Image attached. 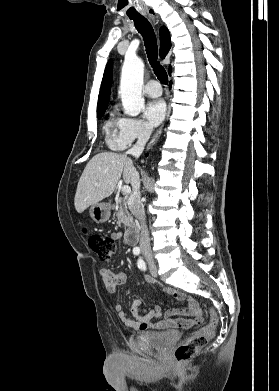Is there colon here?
Returning a JSON list of instances; mask_svg holds the SVG:
<instances>
[{
    "label": "colon",
    "instance_id": "obj_1",
    "mask_svg": "<svg viewBox=\"0 0 279 391\" xmlns=\"http://www.w3.org/2000/svg\"><path fill=\"white\" fill-rule=\"evenodd\" d=\"M88 244L103 262L109 261L117 251V244L111 237H104L99 234H92L88 238ZM209 322L191 336L183 340L174 350V359L178 363L190 360L214 334L218 318L213 310H209Z\"/></svg>",
    "mask_w": 279,
    "mask_h": 391
}]
</instances>
